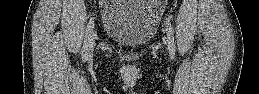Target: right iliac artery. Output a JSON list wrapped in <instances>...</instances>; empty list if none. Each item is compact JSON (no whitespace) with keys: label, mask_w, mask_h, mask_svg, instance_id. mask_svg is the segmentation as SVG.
Returning a JSON list of instances; mask_svg holds the SVG:
<instances>
[{"label":"right iliac artery","mask_w":259,"mask_h":94,"mask_svg":"<svg viewBox=\"0 0 259 94\" xmlns=\"http://www.w3.org/2000/svg\"><path fill=\"white\" fill-rule=\"evenodd\" d=\"M93 28H94V21H93V18H91L87 25V29L85 32V41H84V45H83V49H82V58L84 61L87 60V58H88L89 40H90V36L93 32Z\"/></svg>","instance_id":"82829eb1"}]
</instances>
